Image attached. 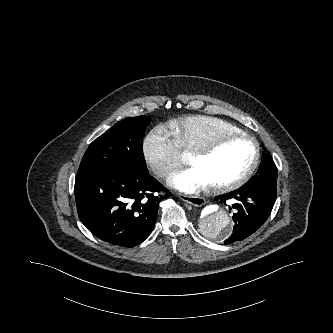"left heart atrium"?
Wrapping results in <instances>:
<instances>
[{
    "instance_id": "1",
    "label": "left heart atrium",
    "mask_w": 333,
    "mask_h": 333,
    "mask_svg": "<svg viewBox=\"0 0 333 333\" xmlns=\"http://www.w3.org/2000/svg\"><path fill=\"white\" fill-rule=\"evenodd\" d=\"M168 182L172 187L185 193H195L208 186L204 175L195 167L173 174Z\"/></svg>"
}]
</instances>
